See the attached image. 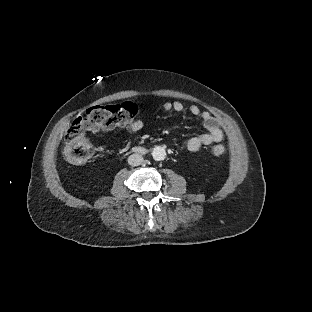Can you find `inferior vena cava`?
<instances>
[{"label": "inferior vena cava", "instance_id": "602c4592", "mask_svg": "<svg viewBox=\"0 0 312 312\" xmlns=\"http://www.w3.org/2000/svg\"><path fill=\"white\" fill-rule=\"evenodd\" d=\"M143 160H144L143 156L139 154H132L128 158V163L131 166H139L143 163Z\"/></svg>", "mask_w": 312, "mask_h": 312}]
</instances>
